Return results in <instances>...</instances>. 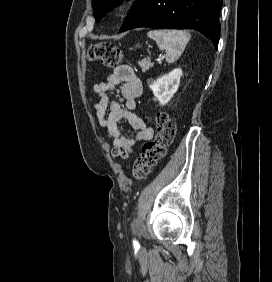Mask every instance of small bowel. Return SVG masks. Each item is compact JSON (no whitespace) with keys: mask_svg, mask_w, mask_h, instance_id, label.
I'll use <instances>...</instances> for the list:
<instances>
[{"mask_svg":"<svg viewBox=\"0 0 272 282\" xmlns=\"http://www.w3.org/2000/svg\"><path fill=\"white\" fill-rule=\"evenodd\" d=\"M118 86L125 100L124 107L109 98ZM93 90L97 96L93 105L95 117L107 136L113 139V158H126L136 144L152 139L153 129L132 111L136 99L142 93V84L130 66L115 67L105 81L94 84ZM122 119L138 131L135 138L131 139L121 131L119 123Z\"/></svg>","mask_w":272,"mask_h":282,"instance_id":"c3829d8e","label":"small bowel"}]
</instances>
